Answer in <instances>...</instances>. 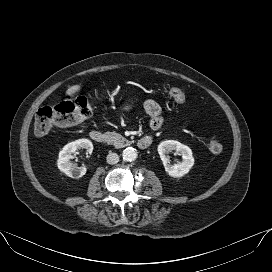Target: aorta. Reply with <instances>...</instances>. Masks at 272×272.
Instances as JSON below:
<instances>
[{
  "label": "aorta",
  "mask_w": 272,
  "mask_h": 272,
  "mask_svg": "<svg viewBox=\"0 0 272 272\" xmlns=\"http://www.w3.org/2000/svg\"><path fill=\"white\" fill-rule=\"evenodd\" d=\"M122 157L125 161H134L137 158V151L133 147H127L123 150Z\"/></svg>",
  "instance_id": "aorta-1"
}]
</instances>
